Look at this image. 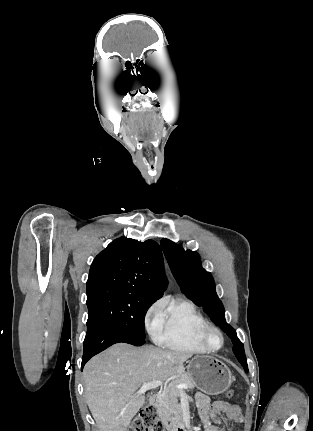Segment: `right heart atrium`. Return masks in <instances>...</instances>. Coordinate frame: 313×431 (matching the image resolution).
Returning a JSON list of instances; mask_svg holds the SVG:
<instances>
[{
    "label": "right heart atrium",
    "instance_id": "right-heart-atrium-1",
    "mask_svg": "<svg viewBox=\"0 0 313 431\" xmlns=\"http://www.w3.org/2000/svg\"><path fill=\"white\" fill-rule=\"evenodd\" d=\"M162 301L151 304L144 314V324L149 334L156 339L162 327Z\"/></svg>",
    "mask_w": 313,
    "mask_h": 431
}]
</instances>
